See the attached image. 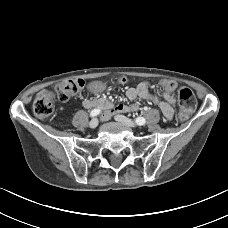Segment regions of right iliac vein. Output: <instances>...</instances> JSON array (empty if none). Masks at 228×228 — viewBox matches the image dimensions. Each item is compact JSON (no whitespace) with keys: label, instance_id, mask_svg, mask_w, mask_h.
<instances>
[{"label":"right iliac vein","instance_id":"obj_1","mask_svg":"<svg viewBox=\"0 0 228 228\" xmlns=\"http://www.w3.org/2000/svg\"><path fill=\"white\" fill-rule=\"evenodd\" d=\"M98 126V119L94 118L89 122L90 128H96Z\"/></svg>","mask_w":228,"mask_h":228}]
</instances>
